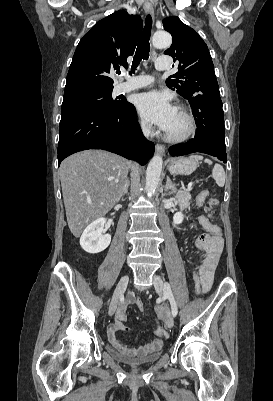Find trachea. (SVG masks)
<instances>
[{
	"label": "trachea",
	"mask_w": 273,
	"mask_h": 401,
	"mask_svg": "<svg viewBox=\"0 0 273 401\" xmlns=\"http://www.w3.org/2000/svg\"><path fill=\"white\" fill-rule=\"evenodd\" d=\"M151 27H152V18L150 14H148L145 21V27L138 41L130 74L135 72V69L137 68L141 60H148L149 58V51H150L149 40L151 35Z\"/></svg>",
	"instance_id": "3493384b"
}]
</instances>
